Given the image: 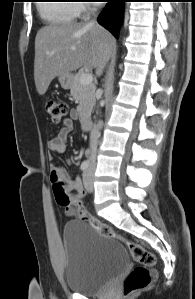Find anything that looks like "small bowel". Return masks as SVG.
I'll use <instances>...</instances> for the list:
<instances>
[{"label":"small bowel","mask_w":195,"mask_h":299,"mask_svg":"<svg viewBox=\"0 0 195 299\" xmlns=\"http://www.w3.org/2000/svg\"><path fill=\"white\" fill-rule=\"evenodd\" d=\"M75 116L76 112L71 111L70 115L62 120V128L60 129L58 134L48 142V149L51 152L64 154L67 151L66 139L69 133L73 130ZM51 176L52 181L59 177L63 179L67 183V191L69 193L74 191V194H72L73 198L81 200L86 195L85 188L83 187L80 178L72 177L63 168L53 165L51 167ZM64 209L70 215L77 214L76 209L73 206L64 207Z\"/></svg>","instance_id":"obj_1"}]
</instances>
